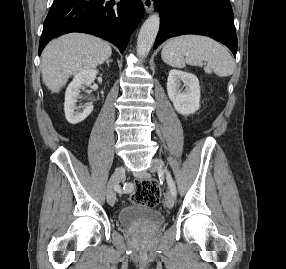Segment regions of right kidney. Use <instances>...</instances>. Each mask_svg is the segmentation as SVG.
<instances>
[{"mask_svg": "<svg viewBox=\"0 0 286 269\" xmlns=\"http://www.w3.org/2000/svg\"><path fill=\"white\" fill-rule=\"evenodd\" d=\"M98 71L88 69L77 73L73 81L68 85L65 93L64 111L67 121L71 124H78L86 119L93 111V104L87 103L82 112H76V102L80 96V90L84 85H91L94 82Z\"/></svg>", "mask_w": 286, "mask_h": 269, "instance_id": "right-kidney-1", "label": "right kidney"}]
</instances>
